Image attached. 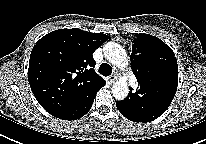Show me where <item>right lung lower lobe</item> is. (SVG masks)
Wrapping results in <instances>:
<instances>
[{"label":"right lung lower lobe","instance_id":"1","mask_svg":"<svg viewBox=\"0 0 206 144\" xmlns=\"http://www.w3.org/2000/svg\"><path fill=\"white\" fill-rule=\"evenodd\" d=\"M105 85V81L94 89L82 102L55 116L64 120H75L83 117L92 107L97 91Z\"/></svg>","mask_w":206,"mask_h":144}]
</instances>
